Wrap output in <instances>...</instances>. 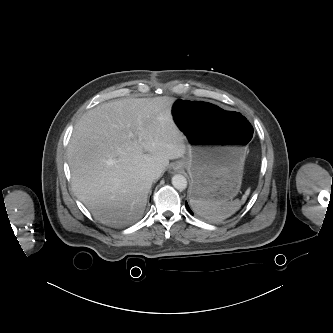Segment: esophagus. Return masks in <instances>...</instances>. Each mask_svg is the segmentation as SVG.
<instances>
[{
	"label": "esophagus",
	"mask_w": 333,
	"mask_h": 333,
	"mask_svg": "<svg viewBox=\"0 0 333 333\" xmlns=\"http://www.w3.org/2000/svg\"><path fill=\"white\" fill-rule=\"evenodd\" d=\"M181 167H182V166H181L180 163H175V164L172 165V167L170 168V172H171V173H174L175 171L180 170Z\"/></svg>",
	"instance_id": "1"
}]
</instances>
